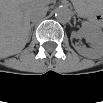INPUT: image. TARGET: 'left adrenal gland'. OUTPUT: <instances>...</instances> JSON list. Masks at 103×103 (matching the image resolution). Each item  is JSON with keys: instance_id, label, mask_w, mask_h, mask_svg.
Instances as JSON below:
<instances>
[{"instance_id": "obj_1", "label": "left adrenal gland", "mask_w": 103, "mask_h": 103, "mask_svg": "<svg viewBox=\"0 0 103 103\" xmlns=\"http://www.w3.org/2000/svg\"><path fill=\"white\" fill-rule=\"evenodd\" d=\"M74 26H76V20H74Z\"/></svg>"}]
</instances>
